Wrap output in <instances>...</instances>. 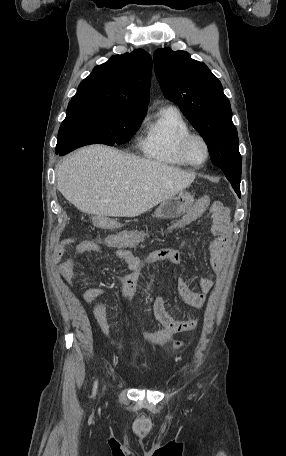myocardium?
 <instances>
[{
  "label": "myocardium",
  "instance_id": "obj_1",
  "mask_svg": "<svg viewBox=\"0 0 286 456\" xmlns=\"http://www.w3.org/2000/svg\"><path fill=\"white\" fill-rule=\"evenodd\" d=\"M193 138H197V139L201 140V142L203 143V145L205 147V151H206V157H205L204 161L199 164L193 163L190 160L188 153H187L188 144ZM178 151H179V154L181 155V157L183 158V160L185 161V163L193 168L203 167L210 159L209 143L203 135H201L200 133H197V132L190 131V132L186 133L185 135H183L178 142Z\"/></svg>",
  "mask_w": 286,
  "mask_h": 456
}]
</instances>
